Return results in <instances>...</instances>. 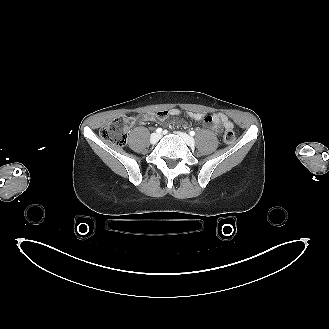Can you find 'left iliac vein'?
Segmentation results:
<instances>
[{
  "instance_id": "4c4485c4",
  "label": "left iliac vein",
  "mask_w": 329,
  "mask_h": 329,
  "mask_svg": "<svg viewBox=\"0 0 329 329\" xmlns=\"http://www.w3.org/2000/svg\"><path fill=\"white\" fill-rule=\"evenodd\" d=\"M178 135L185 141L187 145L193 146L195 144L193 137H191L190 135L183 132H178Z\"/></svg>"
}]
</instances>
